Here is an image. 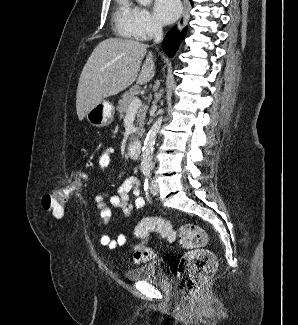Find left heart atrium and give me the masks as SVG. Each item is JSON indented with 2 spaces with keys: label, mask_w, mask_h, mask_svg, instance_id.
Returning <instances> with one entry per match:
<instances>
[{
  "label": "left heart atrium",
  "mask_w": 298,
  "mask_h": 325,
  "mask_svg": "<svg viewBox=\"0 0 298 325\" xmlns=\"http://www.w3.org/2000/svg\"><path fill=\"white\" fill-rule=\"evenodd\" d=\"M182 5L180 0H156L154 15L160 25L173 23L181 14Z\"/></svg>",
  "instance_id": "obj_1"
}]
</instances>
